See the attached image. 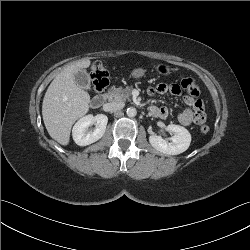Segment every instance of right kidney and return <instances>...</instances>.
<instances>
[{
	"label": "right kidney",
	"instance_id": "right-kidney-1",
	"mask_svg": "<svg viewBox=\"0 0 250 250\" xmlns=\"http://www.w3.org/2000/svg\"><path fill=\"white\" fill-rule=\"evenodd\" d=\"M107 123L108 118L104 114L96 116L86 115L79 119L73 126V140L79 146L90 145L103 137ZM91 124H95L96 128L93 131H88V127Z\"/></svg>",
	"mask_w": 250,
	"mask_h": 250
}]
</instances>
